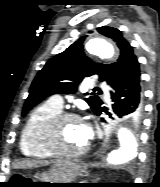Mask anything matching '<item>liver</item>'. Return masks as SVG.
Segmentation results:
<instances>
[{"label": "liver", "instance_id": "liver-1", "mask_svg": "<svg viewBox=\"0 0 160 187\" xmlns=\"http://www.w3.org/2000/svg\"><path fill=\"white\" fill-rule=\"evenodd\" d=\"M44 164H48V162H41V161H36V160H23L17 163L14 167L25 169V168L38 167Z\"/></svg>", "mask_w": 160, "mask_h": 187}]
</instances>
